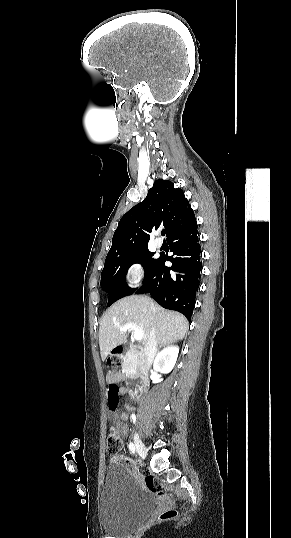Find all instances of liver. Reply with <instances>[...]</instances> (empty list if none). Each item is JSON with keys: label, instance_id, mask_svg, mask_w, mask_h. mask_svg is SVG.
<instances>
[{"label": "liver", "instance_id": "6515ba94", "mask_svg": "<svg viewBox=\"0 0 291 538\" xmlns=\"http://www.w3.org/2000/svg\"><path fill=\"white\" fill-rule=\"evenodd\" d=\"M125 323L136 324L143 330L145 345L152 327L156 329L159 345L182 340L188 331V321L180 313L165 310L146 296L132 295L111 306L100 319L99 346L102 360L120 344L127 342L129 331H120Z\"/></svg>", "mask_w": 291, "mask_h": 538}]
</instances>
